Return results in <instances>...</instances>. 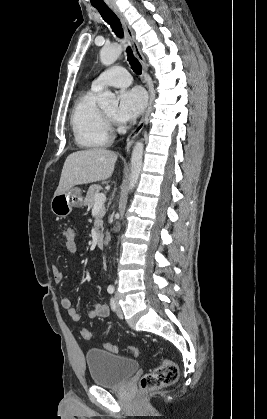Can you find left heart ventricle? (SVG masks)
Masks as SVG:
<instances>
[{
  "mask_svg": "<svg viewBox=\"0 0 267 419\" xmlns=\"http://www.w3.org/2000/svg\"><path fill=\"white\" fill-rule=\"evenodd\" d=\"M105 112H106L109 116L114 117V116L116 115L117 110H116V108L114 107V108H110V109L106 110Z\"/></svg>",
  "mask_w": 267,
  "mask_h": 419,
  "instance_id": "b2bd125f",
  "label": "left heart ventricle"
}]
</instances>
